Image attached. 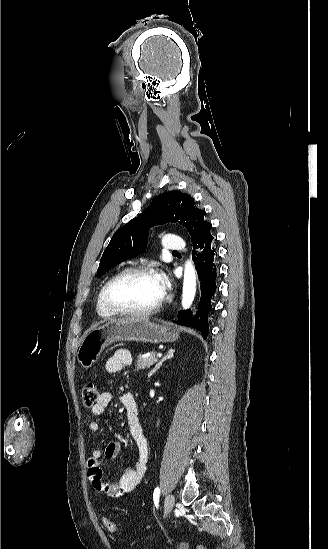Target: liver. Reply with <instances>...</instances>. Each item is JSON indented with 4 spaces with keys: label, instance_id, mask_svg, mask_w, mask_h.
Instances as JSON below:
<instances>
[{
    "label": "liver",
    "instance_id": "6515ba94",
    "mask_svg": "<svg viewBox=\"0 0 328 549\" xmlns=\"http://www.w3.org/2000/svg\"><path fill=\"white\" fill-rule=\"evenodd\" d=\"M111 321H116V319H111Z\"/></svg>",
    "mask_w": 328,
    "mask_h": 549
}]
</instances>
